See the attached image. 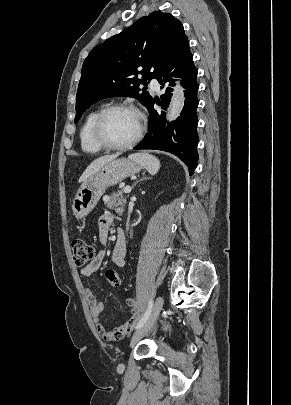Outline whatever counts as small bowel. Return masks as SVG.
<instances>
[{"label": "small bowel", "instance_id": "1", "mask_svg": "<svg viewBox=\"0 0 291 405\" xmlns=\"http://www.w3.org/2000/svg\"><path fill=\"white\" fill-rule=\"evenodd\" d=\"M113 223V217L110 214H104L100 217L99 228V240L101 243H106L108 239L109 229ZM126 256V243L122 230H118L116 243L112 251V261L115 265L122 267L125 264ZM104 259V252H99L85 267L81 269V274L85 277L93 276L100 268ZM86 298L90 305L91 316L96 324L99 335L107 341L117 342L125 338L134 328L141 315V307L139 303L133 299L128 298L126 303L132 308V315L128 321L121 326L107 330L100 321V315L104 309V304L98 301L94 294L90 291H86Z\"/></svg>", "mask_w": 291, "mask_h": 405}]
</instances>
